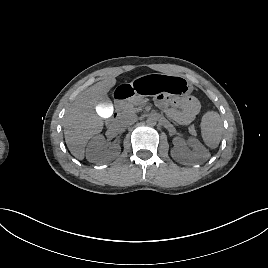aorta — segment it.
I'll use <instances>...</instances> for the list:
<instances>
[{
	"label": "aorta",
	"instance_id": "762f6f07",
	"mask_svg": "<svg viewBox=\"0 0 268 268\" xmlns=\"http://www.w3.org/2000/svg\"><path fill=\"white\" fill-rule=\"evenodd\" d=\"M157 116L156 115H149L147 120H146V123L148 126H155L157 124Z\"/></svg>",
	"mask_w": 268,
	"mask_h": 268
}]
</instances>
